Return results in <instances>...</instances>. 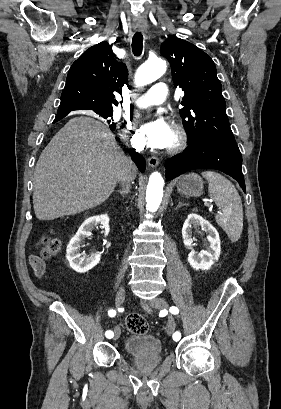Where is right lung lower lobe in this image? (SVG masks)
Masks as SVG:
<instances>
[{
	"mask_svg": "<svg viewBox=\"0 0 281 409\" xmlns=\"http://www.w3.org/2000/svg\"><path fill=\"white\" fill-rule=\"evenodd\" d=\"M67 114H68V112L67 113H59V114L57 113L54 122H57L60 119L64 118ZM130 154L132 156V159L136 162V164H137L138 168L140 169V171L144 172L145 171V160H144V158L141 155H139L138 153H135L133 151H131Z\"/></svg>",
	"mask_w": 281,
	"mask_h": 409,
	"instance_id": "right-lung-lower-lobe-1",
	"label": "right lung lower lobe"
}]
</instances>
